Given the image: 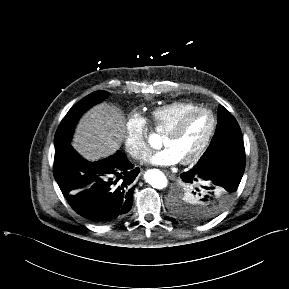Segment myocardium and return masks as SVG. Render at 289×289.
I'll return each instance as SVG.
<instances>
[{"instance_id": "myocardium-1", "label": "myocardium", "mask_w": 289, "mask_h": 289, "mask_svg": "<svg viewBox=\"0 0 289 289\" xmlns=\"http://www.w3.org/2000/svg\"><path fill=\"white\" fill-rule=\"evenodd\" d=\"M199 113H206L211 117L212 120V125L211 128L209 130V133L207 134L205 140L202 142V144L198 147V149L189 157L180 160L182 164L184 165H189V164H193L195 162H197L202 155L205 153V151L208 149L214 135L217 129V117L215 116V114L208 108H203V107H199L196 109H193L191 111H188L187 113H185L184 115H182L179 120L170 128L168 129L165 133L164 136L166 137H174L179 135L187 121L194 115L199 114Z\"/></svg>"}]
</instances>
